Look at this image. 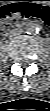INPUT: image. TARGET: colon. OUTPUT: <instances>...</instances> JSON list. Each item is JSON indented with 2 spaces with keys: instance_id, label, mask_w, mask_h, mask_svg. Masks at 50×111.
<instances>
[{
  "instance_id": "1",
  "label": "colon",
  "mask_w": 50,
  "mask_h": 111,
  "mask_svg": "<svg viewBox=\"0 0 50 111\" xmlns=\"http://www.w3.org/2000/svg\"><path fill=\"white\" fill-rule=\"evenodd\" d=\"M0 15L4 23L19 18H35L48 22L50 21V8L44 4L32 2V0H21L4 6Z\"/></svg>"
}]
</instances>
